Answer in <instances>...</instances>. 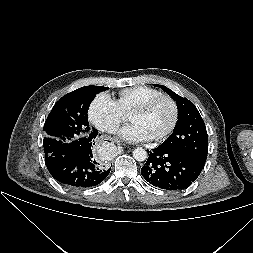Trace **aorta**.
I'll return each instance as SVG.
<instances>
[{"label":"aorta","mask_w":253,"mask_h":253,"mask_svg":"<svg viewBox=\"0 0 253 253\" xmlns=\"http://www.w3.org/2000/svg\"><path fill=\"white\" fill-rule=\"evenodd\" d=\"M147 156L148 155H147L146 150L143 149L142 147H137L133 151V157L136 161L142 162V161L146 160Z\"/></svg>","instance_id":"762f6f07"}]
</instances>
